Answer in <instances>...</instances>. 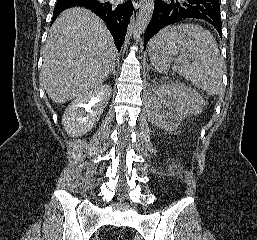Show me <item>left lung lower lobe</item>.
Returning <instances> with one entry per match:
<instances>
[{"mask_svg":"<svg viewBox=\"0 0 257 240\" xmlns=\"http://www.w3.org/2000/svg\"><path fill=\"white\" fill-rule=\"evenodd\" d=\"M185 19L208 22L222 38L219 0H156L152 18L144 34V46L162 28Z\"/></svg>","mask_w":257,"mask_h":240,"instance_id":"left-lung-lower-lobe-1","label":"left lung lower lobe"}]
</instances>
